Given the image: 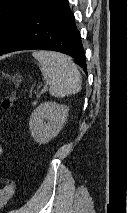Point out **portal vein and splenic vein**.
Instances as JSON below:
<instances>
[{"instance_id":"1","label":"portal vein and splenic vein","mask_w":128,"mask_h":213,"mask_svg":"<svg viewBox=\"0 0 128 213\" xmlns=\"http://www.w3.org/2000/svg\"><path fill=\"white\" fill-rule=\"evenodd\" d=\"M47 90V86H44L41 91H37L36 95L37 97H40L42 93H44Z\"/></svg>"}]
</instances>
